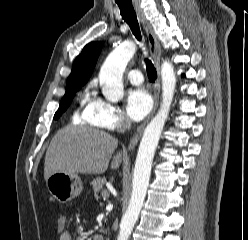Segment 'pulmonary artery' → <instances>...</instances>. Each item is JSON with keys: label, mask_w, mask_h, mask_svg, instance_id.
Wrapping results in <instances>:
<instances>
[{"label": "pulmonary artery", "mask_w": 248, "mask_h": 240, "mask_svg": "<svg viewBox=\"0 0 248 240\" xmlns=\"http://www.w3.org/2000/svg\"><path fill=\"white\" fill-rule=\"evenodd\" d=\"M127 79L134 85H139L143 82L142 73L139 70H131L126 74Z\"/></svg>", "instance_id": "e3ab8cb5"}]
</instances>
